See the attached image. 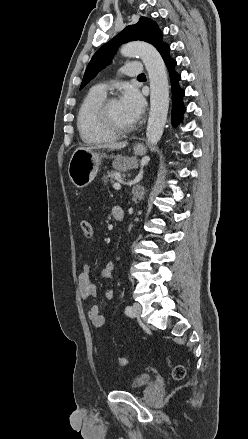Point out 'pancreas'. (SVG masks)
<instances>
[{
	"mask_svg": "<svg viewBox=\"0 0 248 439\" xmlns=\"http://www.w3.org/2000/svg\"><path fill=\"white\" fill-rule=\"evenodd\" d=\"M120 178H121V174H120V172L117 171V170H112V171H110V172H107V175H104V176L102 177V180H103L104 182H106V181H108L109 179H110L111 181H113L114 179H120Z\"/></svg>",
	"mask_w": 248,
	"mask_h": 439,
	"instance_id": "1",
	"label": "pancreas"
}]
</instances>
